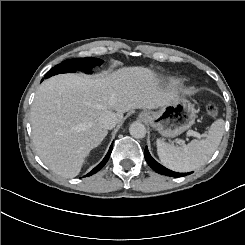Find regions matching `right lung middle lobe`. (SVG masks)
Here are the masks:
<instances>
[{
  "mask_svg": "<svg viewBox=\"0 0 245 245\" xmlns=\"http://www.w3.org/2000/svg\"><path fill=\"white\" fill-rule=\"evenodd\" d=\"M102 63L103 61L101 59L91 57L68 59L62 62L61 64L54 66L49 72H47L45 78L51 77L59 73L75 72L76 69H81L85 73H90V69L93 66H99Z\"/></svg>",
  "mask_w": 245,
  "mask_h": 245,
  "instance_id": "dd1d6c3e",
  "label": "right lung middle lobe"
}]
</instances>
